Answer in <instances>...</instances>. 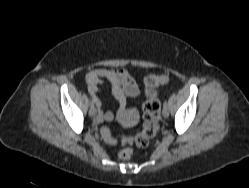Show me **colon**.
<instances>
[{"instance_id":"obj_1","label":"colon","mask_w":249,"mask_h":188,"mask_svg":"<svg viewBox=\"0 0 249 188\" xmlns=\"http://www.w3.org/2000/svg\"><path fill=\"white\" fill-rule=\"evenodd\" d=\"M169 77L166 74L149 75L144 81L145 100L143 102V128L133 138L113 136L108 127L101 129L104 140L109 144L134 143L138 147H145L149 140L155 136L159 128L160 103L157 98L156 88L167 84ZM132 155V149L126 148L119 153L122 159H129Z\"/></svg>"}]
</instances>
